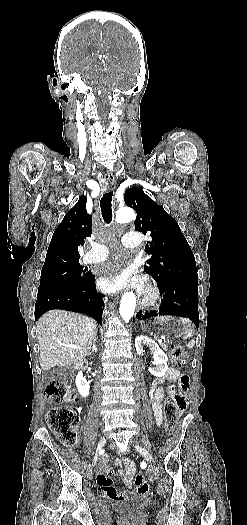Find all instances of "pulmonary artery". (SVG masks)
Returning <instances> with one entry per match:
<instances>
[{"instance_id": "1", "label": "pulmonary artery", "mask_w": 247, "mask_h": 525, "mask_svg": "<svg viewBox=\"0 0 247 525\" xmlns=\"http://www.w3.org/2000/svg\"><path fill=\"white\" fill-rule=\"evenodd\" d=\"M121 242L126 248H138L143 245L144 238L143 236H133V231H130V236H123ZM103 248V245H98L96 249L90 248L88 253L82 257L81 261H95L97 263L103 262V256H107L109 254V251Z\"/></svg>"}]
</instances>
